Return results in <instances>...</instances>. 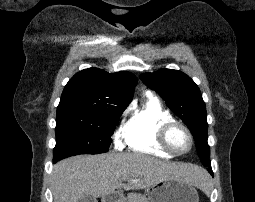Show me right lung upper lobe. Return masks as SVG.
<instances>
[{
	"instance_id": "obj_1",
	"label": "right lung upper lobe",
	"mask_w": 255,
	"mask_h": 202,
	"mask_svg": "<svg viewBox=\"0 0 255 202\" xmlns=\"http://www.w3.org/2000/svg\"><path fill=\"white\" fill-rule=\"evenodd\" d=\"M136 84V77L127 71L108 73L98 68L82 70L66 84L57 115L125 109L133 98Z\"/></svg>"
}]
</instances>
